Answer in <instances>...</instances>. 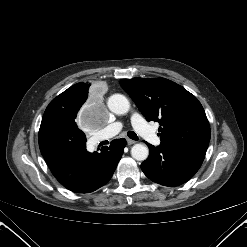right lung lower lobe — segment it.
<instances>
[{"label": "right lung lower lobe", "mask_w": 247, "mask_h": 247, "mask_svg": "<svg viewBox=\"0 0 247 247\" xmlns=\"http://www.w3.org/2000/svg\"><path fill=\"white\" fill-rule=\"evenodd\" d=\"M125 145V139H116L101 153H90L86 150V136L76 123L57 117H43L39 130V148L52 174L76 193L92 192L105 185Z\"/></svg>", "instance_id": "1"}]
</instances>
